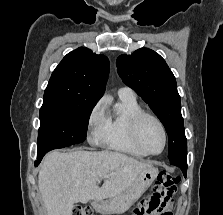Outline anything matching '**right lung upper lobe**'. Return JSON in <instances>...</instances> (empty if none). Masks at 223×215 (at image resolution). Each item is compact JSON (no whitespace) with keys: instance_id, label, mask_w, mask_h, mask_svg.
Instances as JSON below:
<instances>
[{"instance_id":"right-lung-upper-lobe-1","label":"right lung upper lobe","mask_w":223,"mask_h":215,"mask_svg":"<svg viewBox=\"0 0 223 215\" xmlns=\"http://www.w3.org/2000/svg\"><path fill=\"white\" fill-rule=\"evenodd\" d=\"M109 69L106 56L79 47L68 53L53 71L44 100L96 104L104 93Z\"/></svg>"}]
</instances>
